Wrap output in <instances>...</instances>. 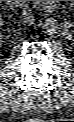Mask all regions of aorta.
<instances>
[{
	"label": "aorta",
	"instance_id": "aorta-1",
	"mask_svg": "<svg viewBox=\"0 0 74 122\" xmlns=\"http://www.w3.org/2000/svg\"><path fill=\"white\" fill-rule=\"evenodd\" d=\"M57 28H58L57 20L53 18L46 19L44 23V29L47 34L49 35L54 34L57 31Z\"/></svg>",
	"mask_w": 74,
	"mask_h": 122
}]
</instances>
